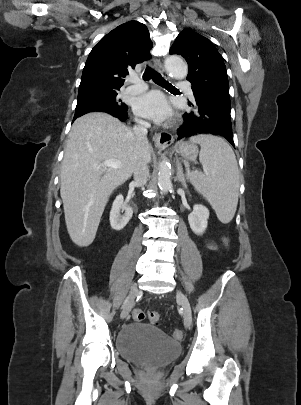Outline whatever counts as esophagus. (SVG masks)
<instances>
[{
  "label": "esophagus",
  "mask_w": 301,
  "mask_h": 405,
  "mask_svg": "<svg viewBox=\"0 0 301 405\" xmlns=\"http://www.w3.org/2000/svg\"><path fill=\"white\" fill-rule=\"evenodd\" d=\"M154 65H155V68L157 69V71L161 75L166 76V72L159 60L155 59ZM153 139H154L155 145L159 148L168 147L169 145H171L173 143V140H174L172 134L166 133V132L155 134Z\"/></svg>",
  "instance_id": "esophagus-1"
}]
</instances>
